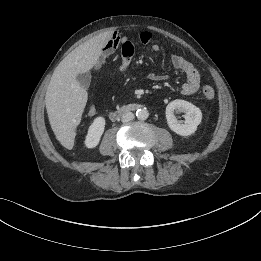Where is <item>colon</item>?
Instances as JSON below:
<instances>
[{"label": "colon", "instance_id": "obj_1", "mask_svg": "<svg viewBox=\"0 0 261 261\" xmlns=\"http://www.w3.org/2000/svg\"><path fill=\"white\" fill-rule=\"evenodd\" d=\"M202 96L205 100L211 101L215 98V90L210 86H205L202 89Z\"/></svg>", "mask_w": 261, "mask_h": 261}]
</instances>
